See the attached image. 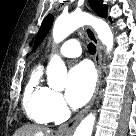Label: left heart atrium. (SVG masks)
<instances>
[{
    "instance_id": "obj_1",
    "label": "left heart atrium",
    "mask_w": 136,
    "mask_h": 136,
    "mask_svg": "<svg viewBox=\"0 0 136 136\" xmlns=\"http://www.w3.org/2000/svg\"><path fill=\"white\" fill-rule=\"evenodd\" d=\"M95 73L89 63L82 62L71 69L67 80L66 98L73 107L83 106L92 96Z\"/></svg>"
}]
</instances>
